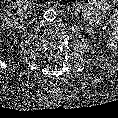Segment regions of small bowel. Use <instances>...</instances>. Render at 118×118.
Here are the masks:
<instances>
[{
    "mask_svg": "<svg viewBox=\"0 0 118 118\" xmlns=\"http://www.w3.org/2000/svg\"><path fill=\"white\" fill-rule=\"evenodd\" d=\"M78 8L94 25H100L102 16L108 11L109 5L106 0H88L80 4ZM111 20L112 29L108 33L107 43L109 47L115 48L118 44V10L113 13Z\"/></svg>",
    "mask_w": 118,
    "mask_h": 118,
    "instance_id": "c3829d8e",
    "label": "small bowel"
}]
</instances>
